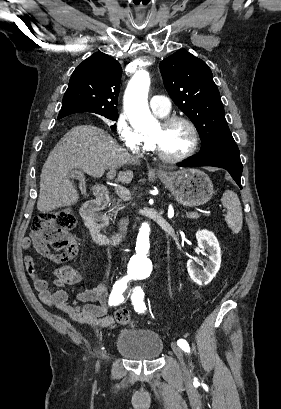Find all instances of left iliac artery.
I'll list each match as a JSON object with an SVG mask.
<instances>
[{"mask_svg":"<svg viewBox=\"0 0 281 409\" xmlns=\"http://www.w3.org/2000/svg\"><path fill=\"white\" fill-rule=\"evenodd\" d=\"M131 300L134 305V309L138 313H144L146 310L144 299V292L140 286H136L131 291ZM178 346L183 349L185 352H190V347L187 341L184 339H179L177 342Z\"/></svg>","mask_w":281,"mask_h":409,"instance_id":"obj_1","label":"left iliac artery"}]
</instances>
